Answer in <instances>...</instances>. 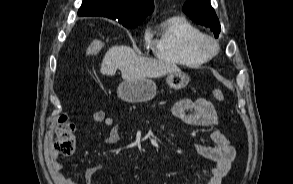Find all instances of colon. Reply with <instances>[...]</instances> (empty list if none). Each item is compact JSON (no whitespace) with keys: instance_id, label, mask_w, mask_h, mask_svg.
<instances>
[{"instance_id":"colon-1","label":"colon","mask_w":293,"mask_h":184,"mask_svg":"<svg viewBox=\"0 0 293 184\" xmlns=\"http://www.w3.org/2000/svg\"><path fill=\"white\" fill-rule=\"evenodd\" d=\"M104 47L105 42L101 39H96L87 46L85 53L87 56H93L101 52ZM211 94L219 102L225 100L224 93L219 88L212 89ZM73 132L74 125L67 116L62 115L55 130V140L53 143V154L55 156L67 157L74 152L75 138Z\"/></svg>"}]
</instances>
